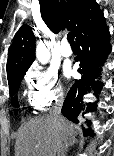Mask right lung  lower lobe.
I'll return each instance as SVG.
<instances>
[{
  "label": "right lung lower lobe",
  "mask_w": 114,
  "mask_h": 156,
  "mask_svg": "<svg viewBox=\"0 0 114 156\" xmlns=\"http://www.w3.org/2000/svg\"><path fill=\"white\" fill-rule=\"evenodd\" d=\"M75 37L80 47L76 61H80L78 72L82 78L76 80L68 92L62 107V114L72 122L80 123L84 110L94 111L96 109V102L85 107L82 101L83 95L95 86L97 87L96 92L100 90L101 84L97 85L93 82V78L99 76V65L104 63L111 50L110 33L103 12L99 9ZM84 133L94 136L91 129H85Z\"/></svg>",
  "instance_id": "obj_1"
}]
</instances>
